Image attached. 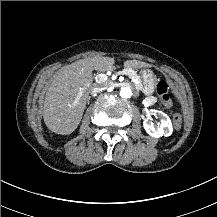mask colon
I'll use <instances>...</instances> for the list:
<instances>
[{"label":"colon","instance_id":"1","mask_svg":"<svg viewBox=\"0 0 217 217\" xmlns=\"http://www.w3.org/2000/svg\"><path fill=\"white\" fill-rule=\"evenodd\" d=\"M157 93L159 95L160 102L163 107L169 108L171 106V97L169 92L168 83L164 80H160L157 83ZM174 126L177 130H180L183 126V118L177 114L173 116Z\"/></svg>","mask_w":217,"mask_h":217}]
</instances>
